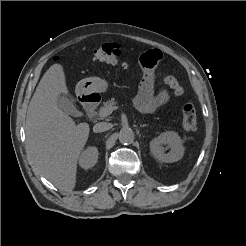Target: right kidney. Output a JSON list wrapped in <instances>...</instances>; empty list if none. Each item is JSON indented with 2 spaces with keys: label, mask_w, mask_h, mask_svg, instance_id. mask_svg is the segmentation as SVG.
<instances>
[{
  "label": "right kidney",
  "mask_w": 246,
  "mask_h": 246,
  "mask_svg": "<svg viewBox=\"0 0 246 246\" xmlns=\"http://www.w3.org/2000/svg\"><path fill=\"white\" fill-rule=\"evenodd\" d=\"M98 160V149L95 146L85 149L79 157V165L83 169H89L95 166Z\"/></svg>",
  "instance_id": "right-kidney-1"
}]
</instances>
